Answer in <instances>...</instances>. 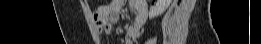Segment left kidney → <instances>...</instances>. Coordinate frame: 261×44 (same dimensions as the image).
Returning <instances> with one entry per match:
<instances>
[{"mask_svg": "<svg viewBox=\"0 0 261 44\" xmlns=\"http://www.w3.org/2000/svg\"><path fill=\"white\" fill-rule=\"evenodd\" d=\"M172 0H157L156 5L150 9L149 18L152 19L164 13Z\"/></svg>", "mask_w": 261, "mask_h": 44, "instance_id": "1", "label": "left kidney"}]
</instances>
